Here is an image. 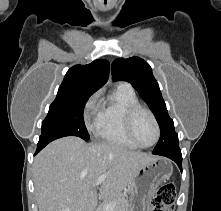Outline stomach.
Segmentation results:
<instances>
[{"instance_id": "1", "label": "stomach", "mask_w": 221, "mask_h": 211, "mask_svg": "<svg viewBox=\"0 0 221 211\" xmlns=\"http://www.w3.org/2000/svg\"><path fill=\"white\" fill-rule=\"evenodd\" d=\"M173 173L172 164L157 157L140 166L130 183L129 211H147L148 203L157 187Z\"/></svg>"}]
</instances>
